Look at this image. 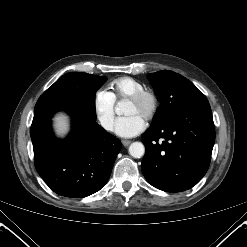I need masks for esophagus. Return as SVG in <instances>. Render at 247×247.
Returning a JSON list of instances; mask_svg holds the SVG:
<instances>
[{
    "instance_id": "34e87169",
    "label": "esophagus",
    "mask_w": 247,
    "mask_h": 247,
    "mask_svg": "<svg viewBox=\"0 0 247 247\" xmlns=\"http://www.w3.org/2000/svg\"><path fill=\"white\" fill-rule=\"evenodd\" d=\"M130 143H131L130 140H122V144H123L124 146L130 145Z\"/></svg>"
}]
</instances>
